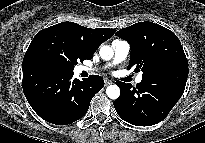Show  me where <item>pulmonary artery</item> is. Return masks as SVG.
Returning a JSON list of instances; mask_svg holds the SVG:
<instances>
[{
  "label": "pulmonary artery",
  "instance_id": "e3ab8cb5",
  "mask_svg": "<svg viewBox=\"0 0 205 143\" xmlns=\"http://www.w3.org/2000/svg\"><path fill=\"white\" fill-rule=\"evenodd\" d=\"M112 48L114 51V57L112 62L108 66L123 62L127 58L130 51L129 43L124 40H114L112 43ZM80 71L89 72V71H94V69L89 67H80ZM141 81H142V75H138L135 79V82L139 84Z\"/></svg>",
  "mask_w": 205,
  "mask_h": 143
}]
</instances>
